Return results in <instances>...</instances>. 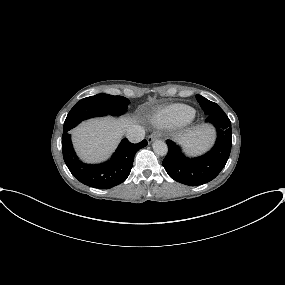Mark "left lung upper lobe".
I'll return each mask as SVG.
<instances>
[{"mask_svg": "<svg viewBox=\"0 0 285 285\" xmlns=\"http://www.w3.org/2000/svg\"><path fill=\"white\" fill-rule=\"evenodd\" d=\"M196 99L206 115L223 111L216 103L209 101L201 95H196Z\"/></svg>", "mask_w": 285, "mask_h": 285, "instance_id": "5c2ea615", "label": "left lung upper lobe"}]
</instances>
